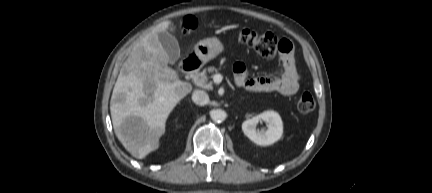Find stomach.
<instances>
[{
  "mask_svg": "<svg viewBox=\"0 0 432 193\" xmlns=\"http://www.w3.org/2000/svg\"><path fill=\"white\" fill-rule=\"evenodd\" d=\"M194 51L196 57L206 63L223 51V45L216 38H206L195 45Z\"/></svg>",
  "mask_w": 432,
  "mask_h": 193,
  "instance_id": "stomach-1",
  "label": "stomach"
}]
</instances>
